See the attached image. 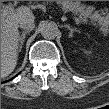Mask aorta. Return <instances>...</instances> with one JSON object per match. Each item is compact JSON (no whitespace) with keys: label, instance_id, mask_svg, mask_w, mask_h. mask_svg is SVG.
I'll use <instances>...</instances> for the list:
<instances>
[{"label":"aorta","instance_id":"1","mask_svg":"<svg viewBox=\"0 0 109 109\" xmlns=\"http://www.w3.org/2000/svg\"><path fill=\"white\" fill-rule=\"evenodd\" d=\"M58 33V28L53 23H43L41 26V35L45 39H54Z\"/></svg>","mask_w":109,"mask_h":109}]
</instances>
